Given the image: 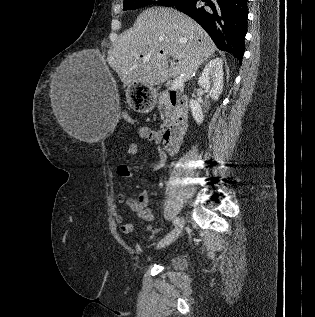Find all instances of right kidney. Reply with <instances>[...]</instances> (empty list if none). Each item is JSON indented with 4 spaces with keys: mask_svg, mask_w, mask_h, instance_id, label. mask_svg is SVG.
Here are the masks:
<instances>
[{
    "mask_svg": "<svg viewBox=\"0 0 315 317\" xmlns=\"http://www.w3.org/2000/svg\"><path fill=\"white\" fill-rule=\"evenodd\" d=\"M198 85L213 100H218L223 89V61L221 58H215L205 66L199 77ZM189 106L195 121L201 124L204 116L200 104L192 99Z\"/></svg>",
    "mask_w": 315,
    "mask_h": 317,
    "instance_id": "ca27d5eb",
    "label": "right kidney"
}]
</instances>
